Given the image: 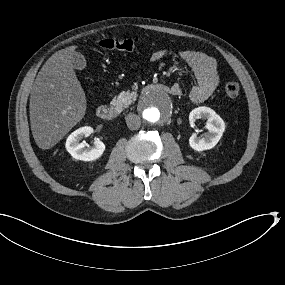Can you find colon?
<instances>
[{"label":"colon","mask_w":285,"mask_h":285,"mask_svg":"<svg viewBox=\"0 0 285 285\" xmlns=\"http://www.w3.org/2000/svg\"><path fill=\"white\" fill-rule=\"evenodd\" d=\"M98 45L106 50L113 51H132L139 45L137 38H125V39H102L98 42ZM240 87L235 81L228 82L225 86V93L229 98H236L239 95Z\"/></svg>","instance_id":"5ec220e1"}]
</instances>
